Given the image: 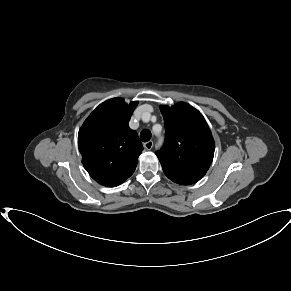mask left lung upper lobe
<instances>
[{
	"instance_id": "1",
	"label": "left lung upper lobe",
	"mask_w": 291,
	"mask_h": 291,
	"mask_svg": "<svg viewBox=\"0 0 291 291\" xmlns=\"http://www.w3.org/2000/svg\"><path fill=\"white\" fill-rule=\"evenodd\" d=\"M166 128L164 147L156 152L165 175L180 185L199 181L213 160L215 143L202 114L179 102L160 106Z\"/></svg>"
}]
</instances>
